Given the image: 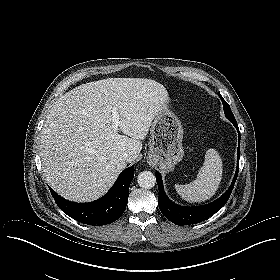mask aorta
Here are the masks:
<instances>
[{
  "label": "aorta",
  "instance_id": "obj_1",
  "mask_svg": "<svg viewBox=\"0 0 280 280\" xmlns=\"http://www.w3.org/2000/svg\"><path fill=\"white\" fill-rule=\"evenodd\" d=\"M137 183L141 188L151 189L156 184L155 175L150 171H143L138 174Z\"/></svg>",
  "mask_w": 280,
  "mask_h": 280
}]
</instances>
